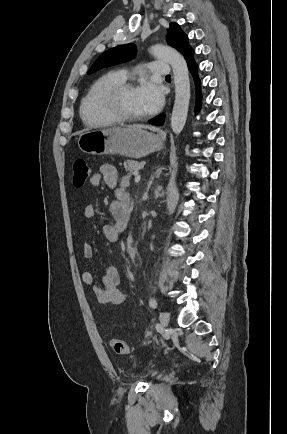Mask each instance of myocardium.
I'll list each match as a JSON object with an SVG mask.
<instances>
[{"instance_id":"myocardium-1","label":"myocardium","mask_w":287,"mask_h":434,"mask_svg":"<svg viewBox=\"0 0 287 434\" xmlns=\"http://www.w3.org/2000/svg\"><path fill=\"white\" fill-rule=\"evenodd\" d=\"M129 89H135L134 83L124 81L108 87L102 94L101 104L104 110L117 122L132 123L142 121L146 118V115H129L123 110L121 98L124 92Z\"/></svg>"}]
</instances>
